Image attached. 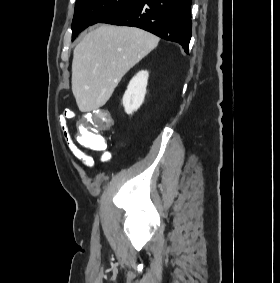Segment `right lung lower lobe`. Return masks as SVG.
<instances>
[{"label": "right lung lower lobe", "mask_w": 280, "mask_h": 283, "mask_svg": "<svg viewBox=\"0 0 280 283\" xmlns=\"http://www.w3.org/2000/svg\"><path fill=\"white\" fill-rule=\"evenodd\" d=\"M192 0H133L100 23L132 26L179 43L186 53L192 36Z\"/></svg>", "instance_id": "98d812e1"}]
</instances>
